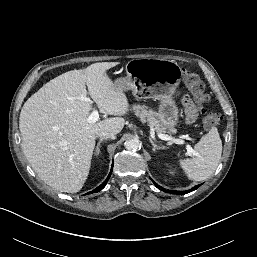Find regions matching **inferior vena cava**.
<instances>
[{
	"instance_id": "obj_1",
	"label": "inferior vena cava",
	"mask_w": 257,
	"mask_h": 257,
	"mask_svg": "<svg viewBox=\"0 0 257 257\" xmlns=\"http://www.w3.org/2000/svg\"><path fill=\"white\" fill-rule=\"evenodd\" d=\"M98 137L101 138H106V139H115L116 134L114 132L110 131H102L98 134Z\"/></svg>"
}]
</instances>
